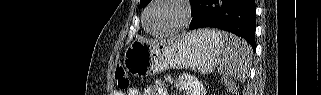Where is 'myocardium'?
<instances>
[{"label": "myocardium", "instance_id": "f54148a6", "mask_svg": "<svg viewBox=\"0 0 321 95\" xmlns=\"http://www.w3.org/2000/svg\"><path fill=\"white\" fill-rule=\"evenodd\" d=\"M162 0H152L148 6L145 8L144 13H143V27L144 29L150 33L153 36H157V37H164V36H171L177 33H180L181 31H183L191 22L192 19V10L190 7V4L187 0H170L175 2L176 4H178L183 11V20L182 22L175 28H173L172 30L166 31V32H161V33H156L151 31L148 26H147V19H148V14L149 11L151 10L152 7H154L157 3H159Z\"/></svg>", "mask_w": 321, "mask_h": 95}]
</instances>
